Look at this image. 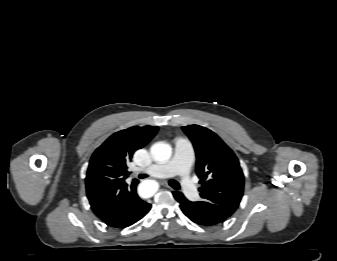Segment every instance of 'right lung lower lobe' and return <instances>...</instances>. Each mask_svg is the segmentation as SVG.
I'll return each instance as SVG.
<instances>
[{"mask_svg": "<svg viewBox=\"0 0 337 261\" xmlns=\"http://www.w3.org/2000/svg\"><path fill=\"white\" fill-rule=\"evenodd\" d=\"M150 208L149 203L137 196L135 189L120 203V208L103 221L113 228H125L144 217Z\"/></svg>", "mask_w": 337, "mask_h": 261, "instance_id": "98d812e1", "label": "right lung lower lobe"}]
</instances>
